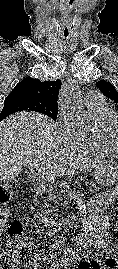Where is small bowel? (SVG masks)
Wrapping results in <instances>:
<instances>
[{"instance_id": "c3829d8e", "label": "small bowel", "mask_w": 118, "mask_h": 269, "mask_svg": "<svg viewBox=\"0 0 118 269\" xmlns=\"http://www.w3.org/2000/svg\"><path fill=\"white\" fill-rule=\"evenodd\" d=\"M116 194H118V186L116 187ZM112 204L113 203L111 200L107 201L105 204H93L91 207V216L85 222L84 234L79 237L77 241L81 245L102 251V253L105 255L107 267H112V269H115L118 267V242H116L112 247L108 243L109 220L112 216ZM68 263L69 259H62L49 269H57L67 265ZM94 263L95 262H89V265L86 268L92 269Z\"/></svg>"}]
</instances>
